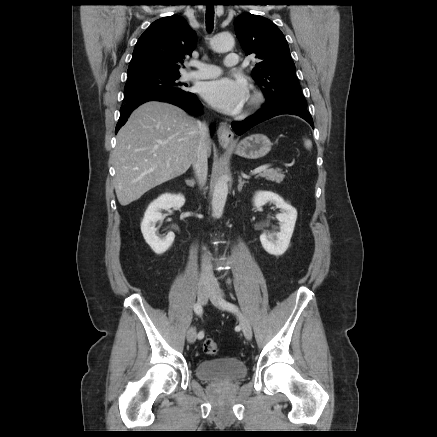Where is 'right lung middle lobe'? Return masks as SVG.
Listing matches in <instances>:
<instances>
[{
    "label": "right lung middle lobe",
    "mask_w": 437,
    "mask_h": 437,
    "mask_svg": "<svg viewBox=\"0 0 437 437\" xmlns=\"http://www.w3.org/2000/svg\"><path fill=\"white\" fill-rule=\"evenodd\" d=\"M125 102L161 93H191L179 81L180 73H138L127 75Z\"/></svg>",
    "instance_id": "dd1d6c3e"
}]
</instances>
